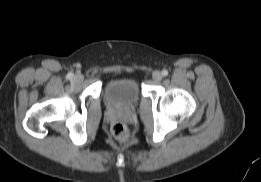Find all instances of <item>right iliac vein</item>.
Returning <instances> with one entry per match:
<instances>
[{
  "label": "right iliac vein",
  "instance_id": "1",
  "mask_svg": "<svg viewBox=\"0 0 261 182\" xmlns=\"http://www.w3.org/2000/svg\"><path fill=\"white\" fill-rule=\"evenodd\" d=\"M73 79L76 82H82L84 78L82 74H76Z\"/></svg>",
  "mask_w": 261,
  "mask_h": 182
}]
</instances>
